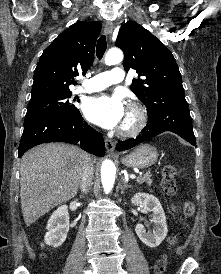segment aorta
Listing matches in <instances>:
<instances>
[{"instance_id": "obj_1", "label": "aorta", "mask_w": 221, "mask_h": 274, "mask_svg": "<svg viewBox=\"0 0 221 274\" xmlns=\"http://www.w3.org/2000/svg\"><path fill=\"white\" fill-rule=\"evenodd\" d=\"M123 60V53L120 49H110L105 56L107 65H115ZM116 168L111 160H105L101 166V181L106 193L110 192L115 182Z\"/></svg>"}]
</instances>
